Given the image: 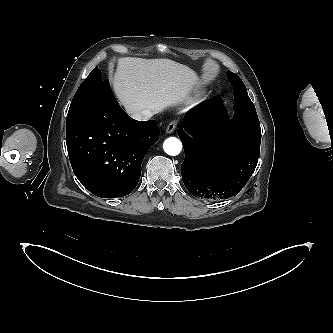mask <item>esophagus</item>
<instances>
[{"instance_id": "1", "label": "esophagus", "mask_w": 333, "mask_h": 333, "mask_svg": "<svg viewBox=\"0 0 333 333\" xmlns=\"http://www.w3.org/2000/svg\"><path fill=\"white\" fill-rule=\"evenodd\" d=\"M177 125V121H172L168 124V126L166 127V133L170 134L172 132H174L175 128Z\"/></svg>"}]
</instances>
